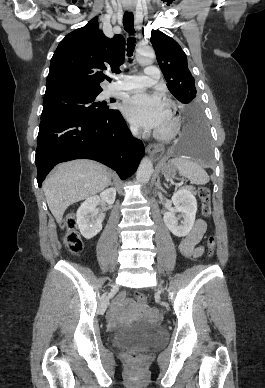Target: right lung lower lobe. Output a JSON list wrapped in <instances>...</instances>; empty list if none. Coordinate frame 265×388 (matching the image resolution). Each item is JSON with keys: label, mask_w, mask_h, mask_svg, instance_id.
Wrapping results in <instances>:
<instances>
[{"label": "right lung lower lobe", "mask_w": 265, "mask_h": 388, "mask_svg": "<svg viewBox=\"0 0 265 388\" xmlns=\"http://www.w3.org/2000/svg\"><path fill=\"white\" fill-rule=\"evenodd\" d=\"M143 155V143L133 138L118 110L104 116H55L42 120L39 127L35 156L38 186L56 164L77 158L97 160L126 179L136 171Z\"/></svg>", "instance_id": "98d812e1"}]
</instances>
